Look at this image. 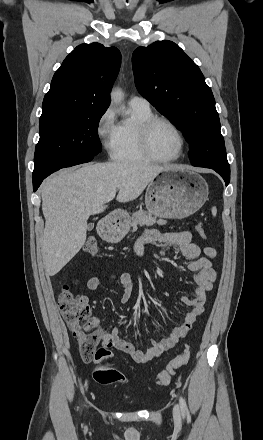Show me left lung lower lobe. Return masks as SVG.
Wrapping results in <instances>:
<instances>
[{"mask_svg": "<svg viewBox=\"0 0 263 440\" xmlns=\"http://www.w3.org/2000/svg\"><path fill=\"white\" fill-rule=\"evenodd\" d=\"M206 168H211V167H206ZM213 170H215L218 174L221 175V177L224 179L226 186L229 184L230 182V169L227 170H222V169H217V168H211Z\"/></svg>", "mask_w": 263, "mask_h": 440, "instance_id": "obj_1", "label": "left lung lower lobe"}]
</instances>
